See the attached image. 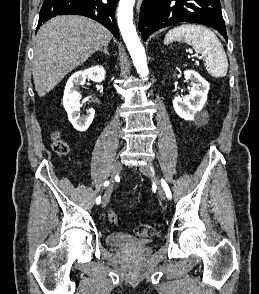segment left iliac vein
Masks as SVG:
<instances>
[{
    "mask_svg": "<svg viewBox=\"0 0 259 294\" xmlns=\"http://www.w3.org/2000/svg\"><path fill=\"white\" fill-rule=\"evenodd\" d=\"M139 170L145 176L156 180L157 185H158V194L162 200H165L166 199L165 190L162 187L159 179L156 177L155 172L153 171L152 165L147 164V165L140 166Z\"/></svg>",
    "mask_w": 259,
    "mask_h": 294,
    "instance_id": "left-iliac-vein-1",
    "label": "left iliac vein"
}]
</instances>
